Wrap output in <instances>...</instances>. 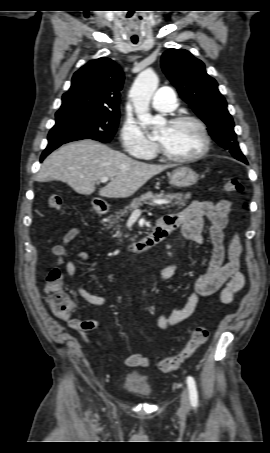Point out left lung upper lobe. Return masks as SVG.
<instances>
[{"mask_svg":"<svg viewBox=\"0 0 270 453\" xmlns=\"http://www.w3.org/2000/svg\"><path fill=\"white\" fill-rule=\"evenodd\" d=\"M161 65L181 98L207 124L213 139L228 149L234 158L246 162L236 141L227 103L217 82L207 74L204 63L187 50L169 49L163 53Z\"/></svg>","mask_w":270,"mask_h":453,"instance_id":"1","label":"left lung upper lobe"}]
</instances>
